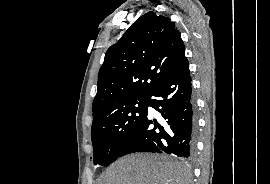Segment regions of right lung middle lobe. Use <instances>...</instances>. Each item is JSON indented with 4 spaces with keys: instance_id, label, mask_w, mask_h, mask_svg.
<instances>
[{
    "instance_id": "dd1d6c3e",
    "label": "right lung middle lobe",
    "mask_w": 270,
    "mask_h": 184,
    "mask_svg": "<svg viewBox=\"0 0 270 184\" xmlns=\"http://www.w3.org/2000/svg\"><path fill=\"white\" fill-rule=\"evenodd\" d=\"M147 116V97L130 100L92 124L94 164L114 162Z\"/></svg>"
}]
</instances>
